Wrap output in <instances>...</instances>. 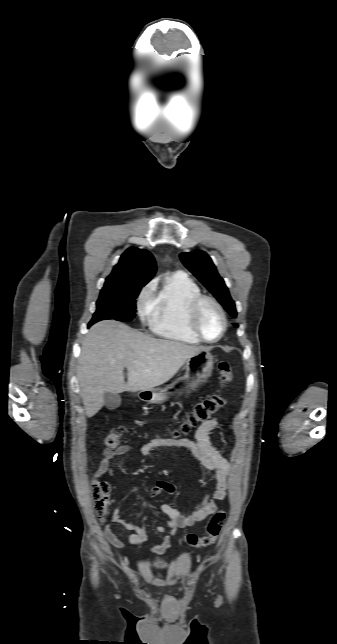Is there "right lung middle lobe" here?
<instances>
[{"label":"right lung middle lobe","mask_w":337,"mask_h":644,"mask_svg":"<svg viewBox=\"0 0 337 644\" xmlns=\"http://www.w3.org/2000/svg\"><path fill=\"white\" fill-rule=\"evenodd\" d=\"M143 286L103 287L88 326L105 319L131 321L136 313V298Z\"/></svg>","instance_id":"1"}]
</instances>
